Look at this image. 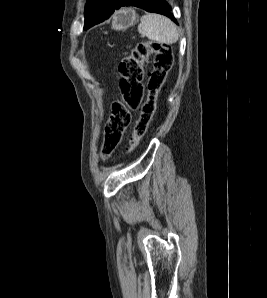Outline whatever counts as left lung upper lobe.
<instances>
[{
    "label": "left lung upper lobe",
    "mask_w": 267,
    "mask_h": 298,
    "mask_svg": "<svg viewBox=\"0 0 267 298\" xmlns=\"http://www.w3.org/2000/svg\"><path fill=\"white\" fill-rule=\"evenodd\" d=\"M115 1L116 0H87L85 6V25L93 16L107 11Z\"/></svg>",
    "instance_id": "5c2ea615"
}]
</instances>
